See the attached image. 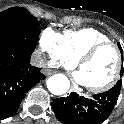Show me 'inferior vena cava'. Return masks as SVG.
I'll return each mask as SVG.
<instances>
[{"label": "inferior vena cava", "mask_w": 124, "mask_h": 124, "mask_svg": "<svg viewBox=\"0 0 124 124\" xmlns=\"http://www.w3.org/2000/svg\"><path fill=\"white\" fill-rule=\"evenodd\" d=\"M31 63L33 66L42 67L44 65V59L41 54L36 53L32 56Z\"/></svg>", "instance_id": "1"}]
</instances>
